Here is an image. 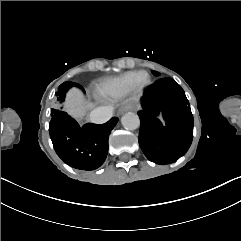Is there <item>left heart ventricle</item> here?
Listing matches in <instances>:
<instances>
[{
    "label": "left heart ventricle",
    "instance_id": "left-heart-ventricle-1",
    "mask_svg": "<svg viewBox=\"0 0 241 241\" xmlns=\"http://www.w3.org/2000/svg\"><path fill=\"white\" fill-rule=\"evenodd\" d=\"M129 92H130L131 95L136 96V95L139 94L140 89H139L138 86L133 85V86L130 87Z\"/></svg>",
    "mask_w": 241,
    "mask_h": 241
}]
</instances>
